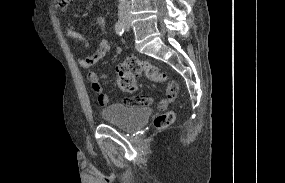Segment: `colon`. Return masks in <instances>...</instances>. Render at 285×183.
<instances>
[{"label":"colon","mask_w":285,"mask_h":183,"mask_svg":"<svg viewBox=\"0 0 285 183\" xmlns=\"http://www.w3.org/2000/svg\"><path fill=\"white\" fill-rule=\"evenodd\" d=\"M64 2V0H60ZM117 85L120 90L124 92H134L137 89L136 78L140 75H145L148 79L155 83H162L166 81L167 76L156 66L137 59L136 57H127L123 62L116 66ZM131 102L139 104H149L150 100L147 98H137ZM174 113L165 111L158 114L154 120L153 125L156 129H164L174 121Z\"/></svg>","instance_id":"obj_1"}]
</instances>
